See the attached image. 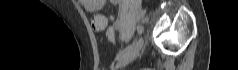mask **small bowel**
Here are the masks:
<instances>
[{
	"label": "small bowel",
	"instance_id": "1",
	"mask_svg": "<svg viewBox=\"0 0 238 70\" xmlns=\"http://www.w3.org/2000/svg\"><path fill=\"white\" fill-rule=\"evenodd\" d=\"M118 2V0H113V3L117 4ZM80 3L86 11L95 13L101 10L104 5V0H80ZM113 20V15L96 13L93 15L91 23L96 31H102L107 27L108 22Z\"/></svg>",
	"mask_w": 238,
	"mask_h": 70
}]
</instances>
